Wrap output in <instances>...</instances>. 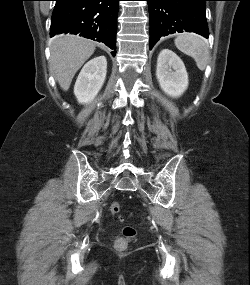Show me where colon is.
Listing matches in <instances>:
<instances>
[{"instance_id":"colon-1","label":"colon","mask_w":250,"mask_h":285,"mask_svg":"<svg viewBox=\"0 0 250 285\" xmlns=\"http://www.w3.org/2000/svg\"><path fill=\"white\" fill-rule=\"evenodd\" d=\"M120 211V205L118 202H112L110 205V212L117 214ZM136 230L131 226H126L123 229V235L116 238L114 245L117 250H125L128 246L129 241L135 236Z\"/></svg>"}]
</instances>
